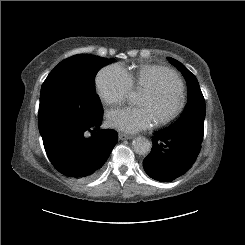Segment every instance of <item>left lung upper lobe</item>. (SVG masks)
Instances as JSON below:
<instances>
[{
    "label": "left lung upper lobe",
    "mask_w": 245,
    "mask_h": 245,
    "mask_svg": "<svg viewBox=\"0 0 245 245\" xmlns=\"http://www.w3.org/2000/svg\"><path fill=\"white\" fill-rule=\"evenodd\" d=\"M168 60L181 71L187 82L188 102L180 118L163 131L189 137L201 144L204 133L205 101L198 81L183 64L171 57H168Z\"/></svg>",
    "instance_id": "1"
}]
</instances>
